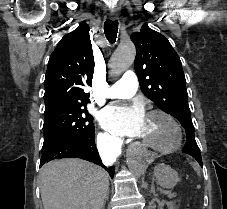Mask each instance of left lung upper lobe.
<instances>
[{
	"mask_svg": "<svg viewBox=\"0 0 227 209\" xmlns=\"http://www.w3.org/2000/svg\"><path fill=\"white\" fill-rule=\"evenodd\" d=\"M130 38L137 50L134 67L143 94L161 110L178 119L186 130L187 141L182 152L201 158L178 54L166 37L146 24Z\"/></svg>",
	"mask_w": 227,
	"mask_h": 209,
	"instance_id": "obj_1",
	"label": "left lung upper lobe"
}]
</instances>
